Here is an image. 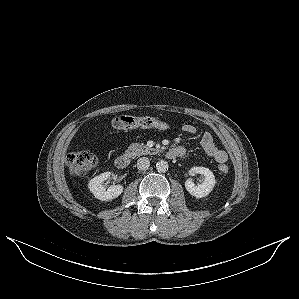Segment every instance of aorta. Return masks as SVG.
I'll return each instance as SVG.
<instances>
[{
    "label": "aorta",
    "instance_id": "obj_1",
    "mask_svg": "<svg viewBox=\"0 0 299 299\" xmlns=\"http://www.w3.org/2000/svg\"><path fill=\"white\" fill-rule=\"evenodd\" d=\"M156 169L158 172H166L168 170V163L166 161H158L156 164Z\"/></svg>",
    "mask_w": 299,
    "mask_h": 299
}]
</instances>
